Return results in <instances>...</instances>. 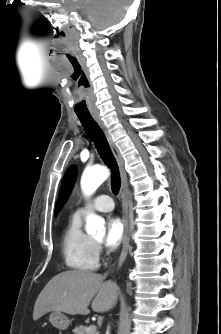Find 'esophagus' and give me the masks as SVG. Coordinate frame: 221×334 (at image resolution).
I'll return each instance as SVG.
<instances>
[{
	"mask_svg": "<svg viewBox=\"0 0 221 334\" xmlns=\"http://www.w3.org/2000/svg\"><path fill=\"white\" fill-rule=\"evenodd\" d=\"M92 117L94 120L98 123L102 131L104 132V135L108 141V144L110 146V149L117 161L119 173L121 177V189H120V197H121V208H122V223L124 225V237H123V246L120 253V257L118 260V267L120 268L122 264L124 263L126 256L128 254V248H129V221H128V198H127V186H128V179H127V173L124 168V161L122 159V156L115 145V142L112 139V136L105 126L104 122L102 121L101 117L99 115L93 114Z\"/></svg>",
	"mask_w": 221,
	"mask_h": 334,
	"instance_id": "esophagus-1",
	"label": "esophagus"
}]
</instances>
